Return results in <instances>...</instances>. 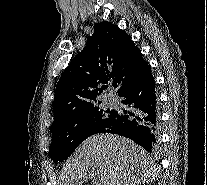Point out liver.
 Masks as SVG:
<instances>
[{"instance_id": "1", "label": "liver", "mask_w": 207, "mask_h": 185, "mask_svg": "<svg viewBox=\"0 0 207 185\" xmlns=\"http://www.w3.org/2000/svg\"><path fill=\"white\" fill-rule=\"evenodd\" d=\"M153 165L134 141L100 133L83 141L66 161L62 185H79L85 179L93 185H144L153 175Z\"/></svg>"}]
</instances>
